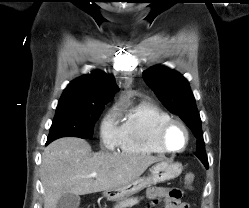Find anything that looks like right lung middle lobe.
Wrapping results in <instances>:
<instances>
[{
    "mask_svg": "<svg viewBox=\"0 0 249 208\" xmlns=\"http://www.w3.org/2000/svg\"><path fill=\"white\" fill-rule=\"evenodd\" d=\"M103 107L102 105L58 106L47 143L66 136L91 139L94 124L98 120Z\"/></svg>",
    "mask_w": 249,
    "mask_h": 208,
    "instance_id": "1",
    "label": "right lung middle lobe"
}]
</instances>
